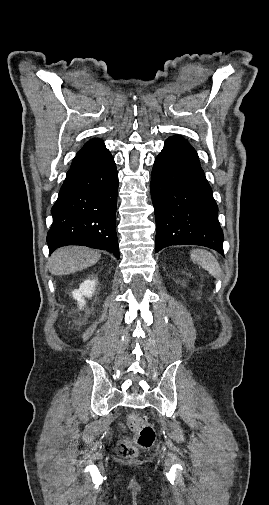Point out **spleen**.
Here are the masks:
<instances>
[{
	"label": "spleen",
	"instance_id": "spleen-1",
	"mask_svg": "<svg viewBox=\"0 0 269 505\" xmlns=\"http://www.w3.org/2000/svg\"><path fill=\"white\" fill-rule=\"evenodd\" d=\"M190 257L193 262L199 264L202 268L208 271L215 278H219L221 275V267L210 252L203 249H193L190 252Z\"/></svg>",
	"mask_w": 269,
	"mask_h": 505
}]
</instances>
